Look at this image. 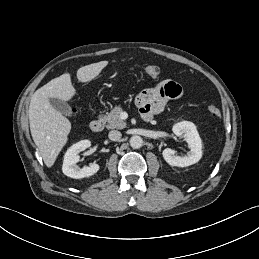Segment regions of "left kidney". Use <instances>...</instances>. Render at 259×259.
Wrapping results in <instances>:
<instances>
[{
    "instance_id": "left-kidney-1",
    "label": "left kidney",
    "mask_w": 259,
    "mask_h": 259,
    "mask_svg": "<svg viewBox=\"0 0 259 259\" xmlns=\"http://www.w3.org/2000/svg\"><path fill=\"white\" fill-rule=\"evenodd\" d=\"M177 137H182L189 145L190 151L187 155L180 157L175 155L174 150L166 148L162 155L164 160L171 166L187 167L197 163L202 157V141L196 126L189 121L176 123L172 128Z\"/></svg>"
}]
</instances>
